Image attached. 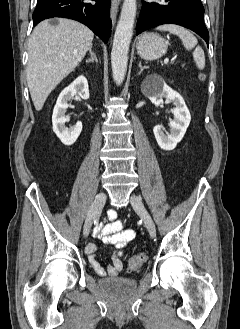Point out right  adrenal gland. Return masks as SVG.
<instances>
[{
    "instance_id": "2a0ac1e0",
    "label": "right adrenal gland",
    "mask_w": 240,
    "mask_h": 329,
    "mask_svg": "<svg viewBox=\"0 0 240 329\" xmlns=\"http://www.w3.org/2000/svg\"><path fill=\"white\" fill-rule=\"evenodd\" d=\"M89 52H90V58L88 60H86V63H93L94 61L96 63H98V59H97L95 53L92 52L91 48L89 49Z\"/></svg>"
}]
</instances>
